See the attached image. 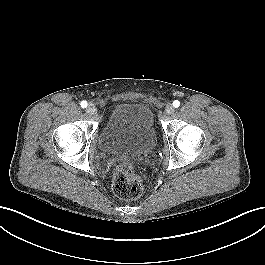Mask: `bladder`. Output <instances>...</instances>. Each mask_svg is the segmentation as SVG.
<instances>
[{
    "label": "bladder",
    "mask_w": 265,
    "mask_h": 265,
    "mask_svg": "<svg viewBox=\"0 0 265 265\" xmlns=\"http://www.w3.org/2000/svg\"><path fill=\"white\" fill-rule=\"evenodd\" d=\"M156 141L152 109L140 102H123L110 112L99 136V147L107 155H141L149 152Z\"/></svg>",
    "instance_id": "31cf9c89"
}]
</instances>
